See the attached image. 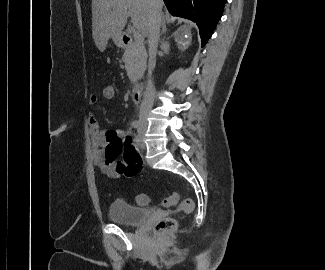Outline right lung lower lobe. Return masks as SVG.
<instances>
[{"mask_svg": "<svg viewBox=\"0 0 325 270\" xmlns=\"http://www.w3.org/2000/svg\"><path fill=\"white\" fill-rule=\"evenodd\" d=\"M164 3L173 16L196 22L204 46L222 16L226 0H164Z\"/></svg>", "mask_w": 325, "mask_h": 270, "instance_id": "right-lung-lower-lobe-1", "label": "right lung lower lobe"}]
</instances>
